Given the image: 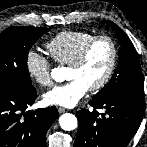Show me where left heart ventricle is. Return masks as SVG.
Masks as SVG:
<instances>
[{"mask_svg": "<svg viewBox=\"0 0 147 147\" xmlns=\"http://www.w3.org/2000/svg\"><path fill=\"white\" fill-rule=\"evenodd\" d=\"M111 46L105 41H98L91 49L87 60L79 68L69 67L67 79H81L89 87L98 83L105 75L111 60Z\"/></svg>", "mask_w": 147, "mask_h": 147, "instance_id": "1", "label": "left heart ventricle"}]
</instances>
